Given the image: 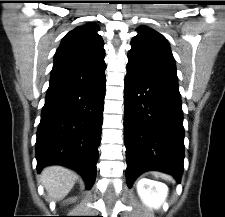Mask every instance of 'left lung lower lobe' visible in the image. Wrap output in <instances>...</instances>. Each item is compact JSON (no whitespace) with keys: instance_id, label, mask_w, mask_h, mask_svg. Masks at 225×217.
I'll return each mask as SVG.
<instances>
[{"instance_id":"left-lung-lower-lobe-1","label":"left lung lower lobe","mask_w":225,"mask_h":217,"mask_svg":"<svg viewBox=\"0 0 225 217\" xmlns=\"http://www.w3.org/2000/svg\"><path fill=\"white\" fill-rule=\"evenodd\" d=\"M124 101L128 187L148 170L171 174L180 183L184 127L178 83L127 69Z\"/></svg>"}]
</instances>
